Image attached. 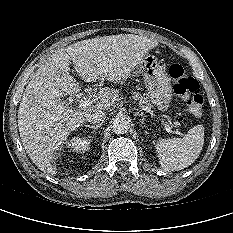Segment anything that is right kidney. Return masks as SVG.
I'll return each instance as SVG.
<instances>
[{
  "label": "right kidney",
  "mask_w": 233,
  "mask_h": 233,
  "mask_svg": "<svg viewBox=\"0 0 233 233\" xmlns=\"http://www.w3.org/2000/svg\"><path fill=\"white\" fill-rule=\"evenodd\" d=\"M90 141L86 137H73L67 142V147L73 152H85L89 148Z\"/></svg>",
  "instance_id": "obj_1"
}]
</instances>
